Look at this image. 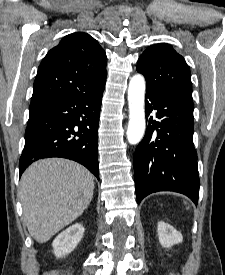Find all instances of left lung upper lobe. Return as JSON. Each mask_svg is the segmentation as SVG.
Returning a JSON list of instances; mask_svg holds the SVG:
<instances>
[{
  "instance_id": "1",
  "label": "left lung upper lobe",
  "mask_w": 225,
  "mask_h": 275,
  "mask_svg": "<svg viewBox=\"0 0 225 275\" xmlns=\"http://www.w3.org/2000/svg\"><path fill=\"white\" fill-rule=\"evenodd\" d=\"M137 71L145 76L147 87L194 108L190 69L169 44L147 48L139 57Z\"/></svg>"
}]
</instances>
